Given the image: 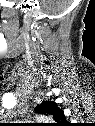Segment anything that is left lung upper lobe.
<instances>
[{
  "instance_id": "left-lung-upper-lobe-1",
  "label": "left lung upper lobe",
  "mask_w": 95,
  "mask_h": 126,
  "mask_svg": "<svg viewBox=\"0 0 95 126\" xmlns=\"http://www.w3.org/2000/svg\"><path fill=\"white\" fill-rule=\"evenodd\" d=\"M37 113H43L53 117L57 124L65 123V116L63 111L57 106L55 102L44 101L41 105L36 107ZM58 126V125H57Z\"/></svg>"
}]
</instances>
